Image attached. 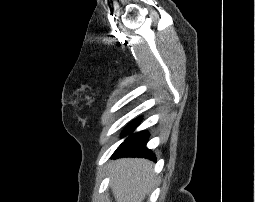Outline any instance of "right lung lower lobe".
Returning <instances> with one entry per match:
<instances>
[{
    "instance_id": "right-lung-lower-lobe-1",
    "label": "right lung lower lobe",
    "mask_w": 255,
    "mask_h": 202,
    "mask_svg": "<svg viewBox=\"0 0 255 202\" xmlns=\"http://www.w3.org/2000/svg\"><path fill=\"white\" fill-rule=\"evenodd\" d=\"M139 123L138 120L130 123L124 130V135L131 134L134 128ZM148 141V133L141 131L131 134L114 152L113 158L118 157H146L148 159H155V155L146 148Z\"/></svg>"
}]
</instances>
